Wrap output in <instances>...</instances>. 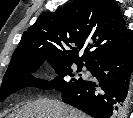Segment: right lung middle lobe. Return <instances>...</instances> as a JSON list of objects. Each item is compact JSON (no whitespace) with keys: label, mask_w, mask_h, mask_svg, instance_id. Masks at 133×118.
<instances>
[{"label":"right lung middle lobe","mask_w":133,"mask_h":118,"mask_svg":"<svg viewBox=\"0 0 133 118\" xmlns=\"http://www.w3.org/2000/svg\"><path fill=\"white\" fill-rule=\"evenodd\" d=\"M45 61L46 59L21 67L7 69L1 85L0 101H4L9 95L24 87H38L45 90L55 89L62 92L86 82L80 78L81 74H76L72 69L74 62L59 59H48V62L58 74L54 80L46 81L35 78L32 73L36 72ZM75 64L78 66L77 72H80L83 63L76 62ZM86 67L90 70L89 66Z\"/></svg>","instance_id":"1"}]
</instances>
